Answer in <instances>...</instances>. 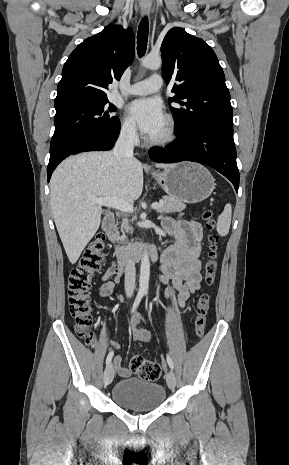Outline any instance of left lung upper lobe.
<instances>
[{
    "label": "left lung upper lobe",
    "mask_w": 289,
    "mask_h": 465,
    "mask_svg": "<svg viewBox=\"0 0 289 465\" xmlns=\"http://www.w3.org/2000/svg\"><path fill=\"white\" fill-rule=\"evenodd\" d=\"M163 76L168 84L177 80L169 99L185 108L170 107L177 124L175 131L186 132L204 125L233 132V110L224 72L212 48L182 28L170 29L161 45ZM184 100V101H182Z\"/></svg>",
    "instance_id": "obj_1"
}]
</instances>
